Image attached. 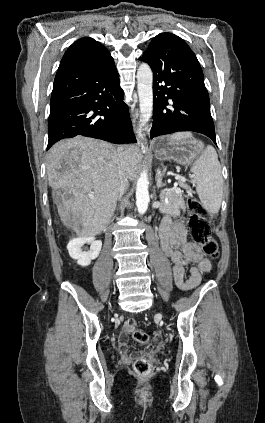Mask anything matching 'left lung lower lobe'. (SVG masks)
I'll return each instance as SVG.
<instances>
[{
	"label": "left lung lower lobe",
	"instance_id": "0a47b994",
	"mask_svg": "<svg viewBox=\"0 0 265 423\" xmlns=\"http://www.w3.org/2000/svg\"><path fill=\"white\" fill-rule=\"evenodd\" d=\"M143 61L153 70L155 121L150 137L194 131L216 144L203 72L185 41L169 33L150 44Z\"/></svg>",
	"mask_w": 265,
	"mask_h": 423
}]
</instances>
